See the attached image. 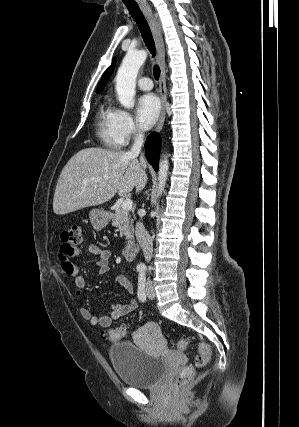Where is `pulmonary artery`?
Here are the masks:
<instances>
[{
  "label": "pulmonary artery",
  "instance_id": "e3ab8cb5",
  "mask_svg": "<svg viewBox=\"0 0 299 427\" xmlns=\"http://www.w3.org/2000/svg\"><path fill=\"white\" fill-rule=\"evenodd\" d=\"M137 85L141 90H151L153 87L152 80L149 77H141L137 81Z\"/></svg>",
  "mask_w": 299,
  "mask_h": 427
}]
</instances>
